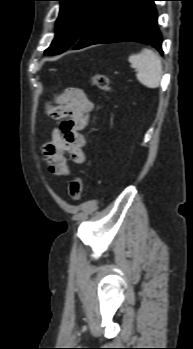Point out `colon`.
<instances>
[{
	"instance_id": "obj_1",
	"label": "colon",
	"mask_w": 193,
	"mask_h": 349,
	"mask_svg": "<svg viewBox=\"0 0 193 349\" xmlns=\"http://www.w3.org/2000/svg\"><path fill=\"white\" fill-rule=\"evenodd\" d=\"M92 85L102 91L108 92L110 90V79L104 74H95L92 78ZM84 182L81 177L72 179L68 186V193L73 200H80L83 196Z\"/></svg>"
}]
</instances>
